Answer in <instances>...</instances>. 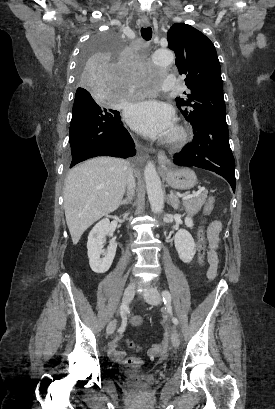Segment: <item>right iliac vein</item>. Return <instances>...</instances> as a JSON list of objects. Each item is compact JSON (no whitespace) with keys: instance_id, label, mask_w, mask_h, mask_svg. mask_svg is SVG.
Segmentation results:
<instances>
[{"instance_id":"63e3f726","label":"right iliac vein","mask_w":275,"mask_h":409,"mask_svg":"<svg viewBox=\"0 0 275 409\" xmlns=\"http://www.w3.org/2000/svg\"><path fill=\"white\" fill-rule=\"evenodd\" d=\"M135 294V283H130L123 294V305L126 307L128 303L133 299ZM117 320H112L107 326V334L111 335L115 331Z\"/></svg>"}]
</instances>
